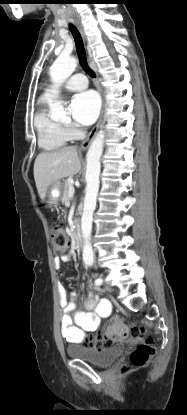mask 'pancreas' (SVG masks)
<instances>
[{"instance_id": "1", "label": "pancreas", "mask_w": 187, "mask_h": 415, "mask_svg": "<svg viewBox=\"0 0 187 415\" xmlns=\"http://www.w3.org/2000/svg\"><path fill=\"white\" fill-rule=\"evenodd\" d=\"M72 186L70 179L65 180L64 183V191H63V196H62V203L64 205H67L69 203V190L70 187Z\"/></svg>"}]
</instances>
